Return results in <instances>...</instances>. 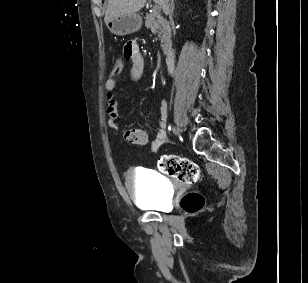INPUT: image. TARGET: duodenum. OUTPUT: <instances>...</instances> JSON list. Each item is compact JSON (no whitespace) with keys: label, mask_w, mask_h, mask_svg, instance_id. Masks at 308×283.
<instances>
[{"label":"duodenum","mask_w":308,"mask_h":283,"mask_svg":"<svg viewBox=\"0 0 308 283\" xmlns=\"http://www.w3.org/2000/svg\"><path fill=\"white\" fill-rule=\"evenodd\" d=\"M175 58L176 53L174 51H170L166 53L165 56V65L166 69L169 73H173L175 69Z\"/></svg>","instance_id":"obj_1"}]
</instances>
